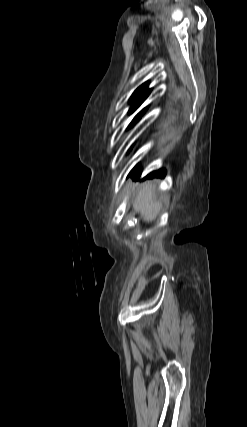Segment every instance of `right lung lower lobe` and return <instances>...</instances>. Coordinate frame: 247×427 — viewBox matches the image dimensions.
<instances>
[{
  "mask_svg": "<svg viewBox=\"0 0 247 427\" xmlns=\"http://www.w3.org/2000/svg\"><path fill=\"white\" fill-rule=\"evenodd\" d=\"M141 171H142L141 168L138 165H136L129 175L133 179H138L139 176L141 175ZM165 175H166V171L164 169H161V170L152 172L151 174L148 175V177H165Z\"/></svg>",
  "mask_w": 247,
  "mask_h": 427,
  "instance_id": "right-lung-lower-lobe-1",
  "label": "right lung lower lobe"
}]
</instances>
